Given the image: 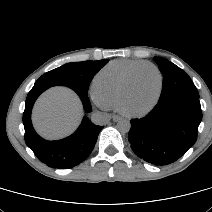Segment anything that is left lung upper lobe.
Wrapping results in <instances>:
<instances>
[{
	"label": "left lung upper lobe",
	"instance_id": "5c2ea615",
	"mask_svg": "<svg viewBox=\"0 0 212 212\" xmlns=\"http://www.w3.org/2000/svg\"><path fill=\"white\" fill-rule=\"evenodd\" d=\"M163 74V87L159 101L176 95L199 98V93L190 77L178 66L162 57H154Z\"/></svg>",
	"mask_w": 212,
	"mask_h": 212
}]
</instances>
